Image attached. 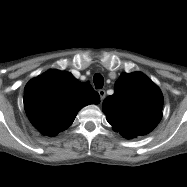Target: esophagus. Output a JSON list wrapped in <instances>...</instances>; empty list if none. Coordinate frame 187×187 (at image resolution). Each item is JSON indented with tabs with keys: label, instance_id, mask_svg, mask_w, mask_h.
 <instances>
[{
	"label": "esophagus",
	"instance_id": "esophagus-1",
	"mask_svg": "<svg viewBox=\"0 0 187 187\" xmlns=\"http://www.w3.org/2000/svg\"><path fill=\"white\" fill-rule=\"evenodd\" d=\"M98 93H99L101 101H103L105 96H106L105 90L104 89H99Z\"/></svg>",
	"mask_w": 187,
	"mask_h": 187
}]
</instances>
